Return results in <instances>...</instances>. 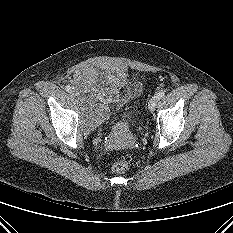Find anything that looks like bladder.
I'll list each match as a JSON object with an SVG mask.
<instances>
[{
  "label": "bladder",
  "mask_w": 233,
  "mask_h": 233,
  "mask_svg": "<svg viewBox=\"0 0 233 233\" xmlns=\"http://www.w3.org/2000/svg\"><path fill=\"white\" fill-rule=\"evenodd\" d=\"M71 86V94L86 129H95L105 123L110 117L112 105L122 108L136 102L142 92L141 83L130 80L125 70L99 62L83 64Z\"/></svg>",
  "instance_id": "bladder-1"
}]
</instances>
